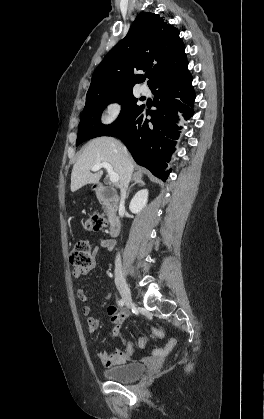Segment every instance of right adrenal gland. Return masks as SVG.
Instances as JSON below:
<instances>
[{"label": "right adrenal gland", "mask_w": 264, "mask_h": 419, "mask_svg": "<svg viewBox=\"0 0 264 419\" xmlns=\"http://www.w3.org/2000/svg\"><path fill=\"white\" fill-rule=\"evenodd\" d=\"M132 180L134 181V183L128 189L126 198H128L131 188L134 187L136 184H138L139 186H144L145 185L144 181L142 180V175L139 174V173L134 174Z\"/></svg>", "instance_id": "right-adrenal-gland-1"}]
</instances>
